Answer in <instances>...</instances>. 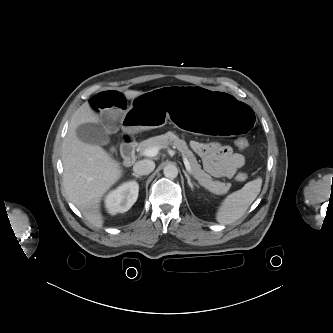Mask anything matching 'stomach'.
I'll list each match as a JSON object with an SVG mask.
<instances>
[{
	"instance_id": "stomach-1",
	"label": "stomach",
	"mask_w": 333,
	"mask_h": 333,
	"mask_svg": "<svg viewBox=\"0 0 333 333\" xmlns=\"http://www.w3.org/2000/svg\"><path fill=\"white\" fill-rule=\"evenodd\" d=\"M173 122L189 133L240 139L253 131L256 118L247 103L221 93L164 86L133 99L124 128L138 133Z\"/></svg>"
}]
</instances>
